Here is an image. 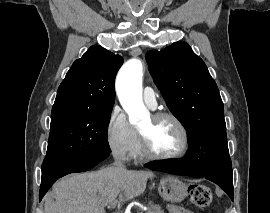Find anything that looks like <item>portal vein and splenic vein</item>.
<instances>
[{
  "label": "portal vein and splenic vein",
  "instance_id": "18ae733b",
  "mask_svg": "<svg viewBox=\"0 0 270 213\" xmlns=\"http://www.w3.org/2000/svg\"><path fill=\"white\" fill-rule=\"evenodd\" d=\"M116 204H117V202H113V203H111V205L109 207H114V206H116Z\"/></svg>",
  "mask_w": 270,
  "mask_h": 213
}]
</instances>
